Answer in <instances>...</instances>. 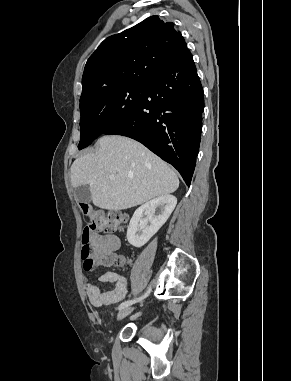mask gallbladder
<instances>
[{
  "instance_id": "gallbladder-1",
  "label": "gallbladder",
  "mask_w": 291,
  "mask_h": 381,
  "mask_svg": "<svg viewBox=\"0 0 291 381\" xmlns=\"http://www.w3.org/2000/svg\"><path fill=\"white\" fill-rule=\"evenodd\" d=\"M74 196L79 203L88 204L91 201V192L88 185L78 186L74 189Z\"/></svg>"
}]
</instances>
